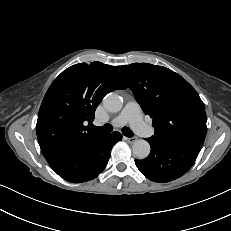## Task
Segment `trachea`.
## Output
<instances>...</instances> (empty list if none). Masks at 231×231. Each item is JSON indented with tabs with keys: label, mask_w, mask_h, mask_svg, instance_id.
<instances>
[{
	"label": "trachea",
	"mask_w": 231,
	"mask_h": 231,
	"mask_svg": "<svg viewBox=\"0 0 231 231\" xmlns=\"http://www.w3.org/2000/svg\"><path fill=\"white\" fill-rule=\"evenodd\" d=\"M92 129L95 131H98V132H102V133H110L113 130V127L110 124H105V125L100 126V127L92 125ZM122 133L126 137H133L134 136L132 130L128 127H124L122 129Z\"/></svg>",
	"instance_id": "3493384b"
}]
</instances>
